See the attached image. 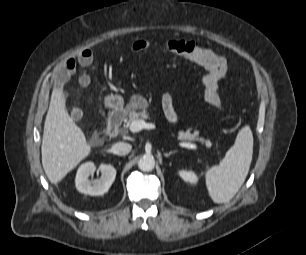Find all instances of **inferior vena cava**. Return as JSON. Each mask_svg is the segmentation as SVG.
<instances>
[{
  "label": "inferior vena cava",
  "instance_id": "602c4592",
  "mask_svg": "<svg viewBox=\"0 0 306 255\" xmlns=\"http://www.w3.org/2000/svg\"><path fill=\"white\" fill-rule=\"evenodd\" d=\"M132 149V146L128 143L124 142H117L112 146L111 151L116 155H126L128 154Z\"/></svg>",
  "mask_w": 306,
  "mask_h": 255
}]
</instances>
